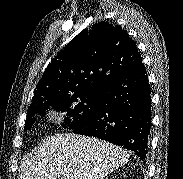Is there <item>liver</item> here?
Listing matches in <instances>:
<instances>
[{"label": "liver", "mask_w": 183, "mask_h": 179, "mask_svg": "<svg viewBox=\"0 0 183 179\" xmlns=\"http://www.w3.org/2000/svg\"><path fill=\"white\" fill-rule=\"evenodd\" d=\"M129 159L109 142L72 133L45 138L21 163V179H103Z\"/></svg>", "instance_id": "1"}]
</instances>
